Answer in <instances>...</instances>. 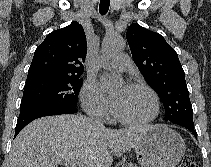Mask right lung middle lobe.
Wrapping results in <instances>:
<instances>
[{"label": "right lung middle lobe", "mask_w": 211, "mask_h": 167, "mask_svg": "<svg viewBox=\"0 0 211 167\" xmlns=\"http://www.w3.org/2000/svg\"><path fill=\"white\" fill-rule=\"evenodd\" d=\"M83 80L79 76L43 77L26 81L20 112L41 106H77Z\"/></svg>", "instance_id": "right-lung-middle-lobe-1"}]
</instances>
